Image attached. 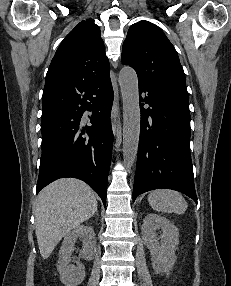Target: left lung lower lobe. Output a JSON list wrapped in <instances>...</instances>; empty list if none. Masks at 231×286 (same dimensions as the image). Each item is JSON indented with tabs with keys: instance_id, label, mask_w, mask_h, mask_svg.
Segmentation results:
<instances>
[{
	"instance_id": "left-lung-lower-lobe-1",
	"label": "left lung lower lobe",
	"mask_w": 231,
	"mask_h": 286,
	"mask_svg": "<svg viewBox=\"0 0 231 286\" xmlns=\"http://www.w3.org/2000/svg\"><path fill=\"white\" fill-rule=\"evenodd\" d=\"M141 128L133 201L144 192L167 188L197 203L190 155L188 95L139 82ZM144 104L149 107L144 109Z\"/></svg>"
}]
</instances>
